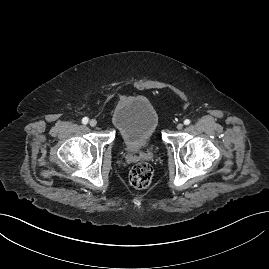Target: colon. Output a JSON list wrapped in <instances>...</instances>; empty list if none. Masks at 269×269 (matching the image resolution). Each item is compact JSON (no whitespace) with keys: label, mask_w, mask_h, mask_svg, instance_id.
Instances as JSON below:
<instances>
[{"label":"colon","mask_w":269,"mask_h":269,"mask_svg":"<svg viewBox=\"0 0 269 269\" xmlns=\"http://www.w3.org/2000/svg\"><path fill=\"white\" fill-rule=\"evenodd\" d=\"M153 177V169L148 163H139L132 167L129 182L135 189L147 188Z\"/></svg>","instance_id":"obj_1"}]
</instances>
